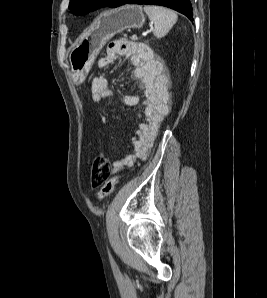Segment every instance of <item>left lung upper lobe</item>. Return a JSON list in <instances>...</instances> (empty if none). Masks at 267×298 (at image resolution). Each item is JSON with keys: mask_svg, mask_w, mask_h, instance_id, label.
Segmentation results:
<instances>
[{"mask_svg": "<svg viewBox=\"0 0 267 298\" xmlns=\"http://www.w3.org/2000/svg\"><path fill=\"white\" fill-rule=\"evenodd\" d=\"M121 0H70L69 9L76 15H84L101 7H117Z\"/></svg>", "mask_w": 267, "mask_h": 298, "instance_id": "obj_1", "label": "left lung upper lobe"}]
</instances>
